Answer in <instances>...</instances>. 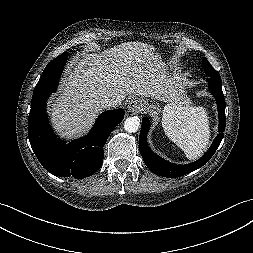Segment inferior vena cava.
I'll use <instances>...</instances> for the list:
<instances>
[{"label":"inferior vena cava","mask_w":253,"mask_h":253,"mask_svg":"<svg viewBox=\"0 0 253 253\" xmlns=\"http://www.w3.org/2000/svg\"><path fill=\"white\" fill-rule=\"evenodd\" d=\"M100 104L103 109H107L117 107L120 104V102L116 99L106 97L100 101Z\"/></svg>","instance_id":"602c4592"}]
</instances>
